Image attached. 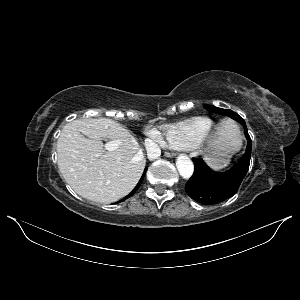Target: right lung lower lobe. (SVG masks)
I'll return each mask as SVG.
<instances>
[{"label":"right lung lower lobe","mask_w":300,"mask_h":300,"mask_svg":"<svg viewBox=\"0 0 300 300\" xmlns=\"http://www.w3.org/2000/svg\"><path fill=\"white\" fill-rule=\"evenodd\" d=\"M146 170H147V167L145 168L144 174L142 175V177H141L140 181L138 182V184L136 185V187H135V188L132 190V192H131L128 196H126L124 199H126V198L132 196V195L138 190V188L140 187V185H141V183H142V181H143V178H144V175H145V173H146ZM134 190H136V191H134ZM124 199H123V200H124Z\"/></svg>","instance_id":"1"}]
</instances>
